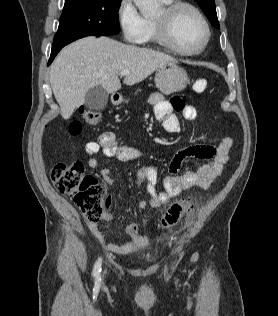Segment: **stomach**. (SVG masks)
<instances>
[{"label":"stomach","instance_id":"stomach-1","mask_svg":"<svg viewBox=\"0 0 278 316\" xmlns=\"http://www.w3.org/2000/svg\"><path fill=\"white\" fill-rule=\"evenodd\" d=\"M188 81L186 71L175 62L161 65L155 74L157 88L166 95L184 90Z\"/></svg>","mask_w":278,"mask_h":316}]
</instances>
